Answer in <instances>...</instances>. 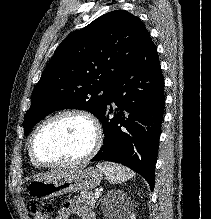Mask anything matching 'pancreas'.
Listing matches in <instances>:
<instances>
[{
    "label": "pancreas",
    "instance_id": "pancreas-1",
    "mask_svg": "<svg viewBox=\"0 0 211 219\" xmlns=\"http://www.w3.org/2000/svg\"><path fill=\"white\" fill-rule=\"evenodd\" d=\"M81 199L83 203L90 205L92 208L95 207L96 198L92 192H83L81 194Z\"/></svg>",
    "mask_w": 211,
    "mask_h": 219
}]
</instances>
